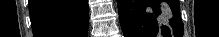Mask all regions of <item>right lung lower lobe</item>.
I'll use <instances>...</instances> for the list:
<instances>
[{
    "label": "right lung lower lobe",
    "instance_id": "obj_1",
    "mask_svg": "<svg viewBox=\"0 0 219 37\" xmlns=\"http://www.w3.org/2000/svg\"><path fill=\"white\" fill-rule=\"evenodd\" d=\"M34 37H87V0H29Z\"/></svg>",
    "mask_w": 219,
    "mask_h": 37
}]
</instances>
